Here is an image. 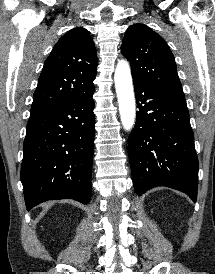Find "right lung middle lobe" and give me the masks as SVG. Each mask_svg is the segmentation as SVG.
Here are the masks:
<instances>
[{
	"mask_svg": "<svg viewBox=\"0 0 215 274\" xmlns=\"http://www.w3.org/2000/svg\"><path fill=\"white\" fill-rule=\"evenodd\" d=\"M38 115H35V114H30V118H29V120H31V119H34V118H36Z\"/></svg>",
	"mask_w": 215,
	"mask_h": 274,
	"instance_id": "right-lung-middle-lobe-1",
	"label": "right lung middle lobe"
}]
</instances>
